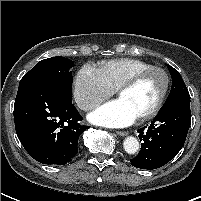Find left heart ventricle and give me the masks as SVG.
I'll use <instances>...</instances> for the list:
<instances>
[{
  "label": "left heart ventricle",
  "instance_id": "1",
  "mask_svg": "<svg viewBox=\"0 0 201 201\" xmlns=\"http://www.w3.org/2000/svg\"><path fill=\"white\" fill-rule=\"evenodd\" d=\"M163 76L155 71L125 90L119 96L137 117L149 111L157 102L163 87Z\"/></svg>",
  "mask_w": 201,
  "mask_h": 201
}]
</instances>
